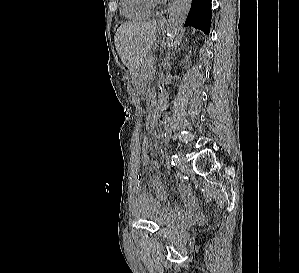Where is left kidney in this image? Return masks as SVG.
<instances>
[{
    "label": "left kidney",
    "mask_w": 299,
    "mask_h": 273,
    "mask_svg": "<svg viewBox=\"0 0 299 273\" xmlns=\"http://www.w3.org/2000/svg\"><path fill=\"white\" fill-rule=\"evenodd\" d=\"M189 61V57L188 56H186V62H188Z\"/></svg>",
    "instance_id": "1"
}]
</instances>
